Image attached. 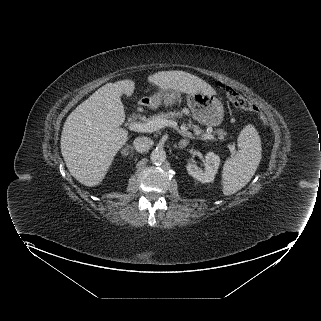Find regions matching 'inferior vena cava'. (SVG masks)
Returning a JSON list of instances; mask_svg holds the SVG:
<instances>
[{
  "label": "inferior vena cava",
  "instance_id": "1",
  "mask_svg": "<svg viewBox=\"0 0 321 321\" xmlns=\"http://www.w3.org/2000/svg\"><path fill=\"white\" fill-rule=\"evenodd\" d=\"M134 149L137 152H145L153 146V141L147 137H137L133 142Z\"/></svg>",
  "mask_w": 321,
  "mask_h": 321
}]
</instances>
